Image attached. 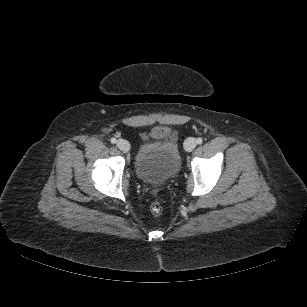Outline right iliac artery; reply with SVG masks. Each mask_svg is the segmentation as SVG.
<instances>
[{
	"label": "right iliac artery",
	"instance_id": "obj_1",
	"mask_svg": "<svg viewBox=\"0 0 307 307\" xmlns=\"http://www.w3.org/2000/svg\"><path fill=\"white\" fill-rule=\"evenodd\" d=\"M117 142L116 138H111V143L115 144Z\"/></svg>",
	"mask_w": 307,
	"mask_h": 307
}]
</instances>
